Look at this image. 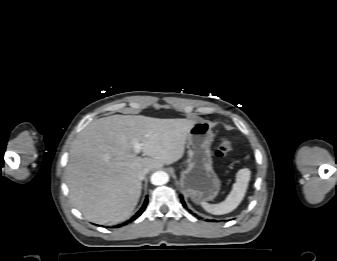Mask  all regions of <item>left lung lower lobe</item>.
Segmentation results:
<instances>
[{
  "instance_id": "0a47b994",
  "label": "left lung lower lobe",
  "mask_w": 337,
  "mask_h": 261,
  "mask_svg": "<svg viewBox=\"0 0 337 261\" xmlns=\"http://www.w3.org/2000/svg\"><path fill=\"white\" fill-rule=\"evenodd\" d=\"M180 198H181V201H182L183 206L186 207V204H185L184 201H183V197L180 196ZM212 221H213V220H212Z\"/></svg>"
}]
</instances>
